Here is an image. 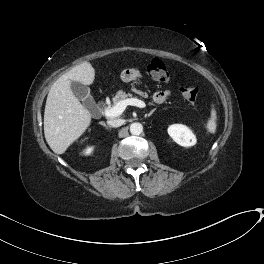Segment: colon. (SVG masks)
<instances>
[{"mask_svg": "<svg viewBox=\"0 0 264 264\" xmlns=\"http://www.w3.org/2000/svg\"><path fill=\"white\" fill-rule=\"evenodd\" d=\"M148 75L156 81H167L169 73L165 64L159 59H153L147 67ZM184 99L194 102L199 97V89L194 87H183L180 89Z\"/></svg>", "mask_w": 264, "mask_h": 264, "instance_id": "5ec220e1", "label": "colon"}]
</instances>
